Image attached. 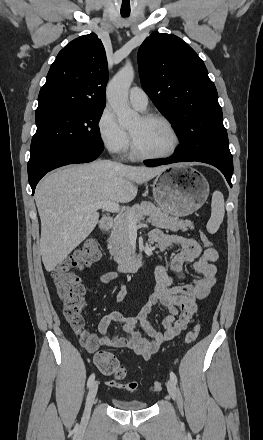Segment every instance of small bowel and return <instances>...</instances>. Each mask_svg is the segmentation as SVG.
Wrapping results in <instances>:
<instances>
[{"label":"small bowel","instance_id":"c3829d8e","mask_svg":"<svg viewBox=\"0 0 263 440\" xmlns=\"http://www.w3.org/2000/svg\"><path fill=\"white\" fill-rule=\"evenodd\" d=\"M150 240L156 243L161 251L176 248V254L171 258L169 268L160 263L155 269L156 287L147 303L141 307L137 315L126 316L121 311L106 314L98 324L99 335H93L87 346L90 352L100 348H127L144 360H149L160 346L185 330L198 314V301L205 298L216 282L217 268L214 262L218 253L213 247L202 250L194 239L180 234H165L160 230H152ZM190 263L200 274L190 283L178 285L176 281L186 279L184 265ZM101 284L118 283L116 295L118 302H123L127 296L126 286L120 281L115 271L101 274L98 278ZM161 304L168 309V315L162 320L164 332L156 330L148 317L155 305ZM122 325L124 334L108 336L111 323ZM139 325L143 332L137 329Z\"/></svg>","mask_w":263,"mask_h":440}]
</instances>
